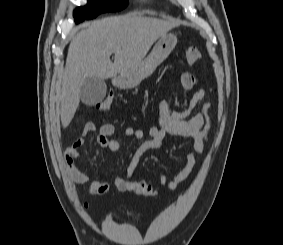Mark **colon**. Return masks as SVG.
Wrapping results in <instances>:
<instances>
[{
    "label": "colon",
    "mask_w": 283,
    "mask_h": 245,
    "mask_svg": "<svg viewBox=\"0 0 283 245\" xmlns=\"http://www.w3.org/2000/svg\"><path fill=\"white\" fill-rule=\"evenodd\" d=\"M201 58L199 50L195 47H190L185 52V60L188 65H193ZM113 93L110 92L107 97L97 104L98 110L102 112H108L111 110L113 105ZM128 191L135 192L140 195L153 196L155 191L153 188L144 181H134L132 180L128 184Z\"/></svg>",
    "instance_id": "5ec220e1"
}]
</instances>
